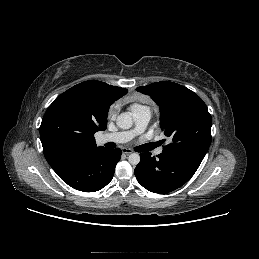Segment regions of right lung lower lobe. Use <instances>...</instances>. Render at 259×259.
<instances>
[{
    "mask_svg": "<svg viewBox=\"0 0 259 259\" xmlns=\"http://www.w3.org/2000/svg\"><path fill=\"white\" fill-rule=\"evenodd\" d=\"M121 154L119 148L99 147L68 155L51 167L72 188L83 192H95L110 183Z\"/></svg>",
    "mask_w": 259,
    "mask_h": 259,
    "instance_id": "right-lung-lower-lobe-1",
    "label": "right lung lower lobe"
}]
</instances>
